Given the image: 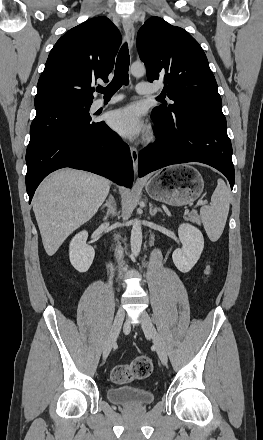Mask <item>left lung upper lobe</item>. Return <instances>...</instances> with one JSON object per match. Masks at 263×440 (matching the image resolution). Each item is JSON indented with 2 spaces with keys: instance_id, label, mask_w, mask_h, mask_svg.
<instances>
[{
  "instance_id": "obj_1",
  "label": "left lung upper lobe",
  "mask_w": 263,
  "mask_h": 440,
  "mask_svg": "<svg viewBox=\"0 0 263 440\" xmlns=\"http://www.w3.org/2000/svg\"><path fill=\"white\" fill-rule=\"evenodd\" d=\"M137 47L147 78L164 81L173 101L152 114L166 121L222 113V100L207 57L198 42L184 29L159 17L148 19L138 32Z\"/></svg>"
}]
</instances>
